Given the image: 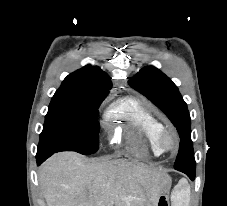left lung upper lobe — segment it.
<instances>
[{
	"instance_id": "1",
	"label": "left lung upper lobe",
	"mask_w": 227,
	"mask_h": 206,
	"mask_svg": "<svg viewBox=\"0 0 227 206\" xmlns=\"http://www.w3.org/2000/svg\"><path fill=\"white\" fill-rule=\"evenodd\" d=\"M129 84L160 108L176 127L180 136V146L174 168H196L190 115L176 85L152 66L141 69L130 79Z\"/></svg>"
}]
</instances>
